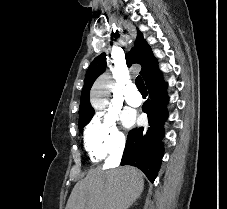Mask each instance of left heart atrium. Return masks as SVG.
I'll list each match as a JSON object with an SVG mask.
<instances>
[{"label":"left heart atrium","instance_id":"1","mask_svg":"<svg viewBox=\"0 0 227 209\" xmlns=\"http://www.w3.org/2000/svg\"><path fill=\"white\" fill-rule=\"evenodd\" d=\"M122 121L126 127H131L136 122V116L133 112L126 111L122 116Z\"/></svg>","mask_w":227,"mask_h":209}]
</instances>
